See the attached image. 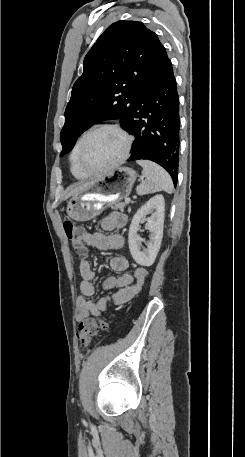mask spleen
Returning <instances> with one entry per match:
<instances>
[{
    "mask_svg": "<svg viewBox=\"0 0 245 457\" xmlns=\"http://www.w3.org/2000/svg\"><path fill=\"white\" fill-rule=\"evenodd\" d=\"M136 162L142 166V174L146 176V180L138 184L137 194H150V192H158V190L173 192L172 178L162 166L152 160H136Z\"/></svg>",
    "mask_w": 245,
    "mask_h": 457,
    "instance_id": "3e777b00",
    "label": "spleen"
}]
</instances>
